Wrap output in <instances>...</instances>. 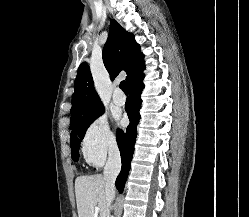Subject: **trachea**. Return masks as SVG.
I'll list each match as a JSON object with an SVG mask.
<instances>
[{
	"mask_svg": "<svg viewBox=\"0 0 249 217\" xmlns=\"http://www.w3.org/2000/svg\"><path fill=\"white\" fill-rule=\"evenodd\" d=\"M120 88L123 90L125 94H128V85L126 81H122L120 83Z\"/></svg>",
	"mask_w": 249,
	"mask_h": 217,
	"instance_id": "obj_1",
	"label": "trachea"
}]
</instances>
